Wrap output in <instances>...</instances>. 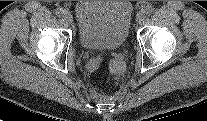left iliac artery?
Returning <instances> with one entry per match:
<instances>
[{
	"label": "left iliac artery",
	"mask_w": 207,
	"mask_h": 121,
	"mask_svg": "<svg viewBox=\"0 0 207 121\" xmlns=\"http://www.w3.org/2000/svg\"><path fill=\"white\" fill-rule=\"evenodd\" d=\"M154 9L155 8L152 5H149L146 6L143 11L145 14L150 15L154 11Z\"/></svg>",
	"instance_id": "obj_1"
}]
</instances>
